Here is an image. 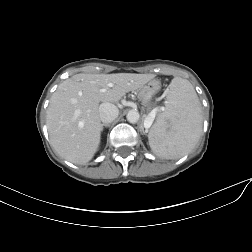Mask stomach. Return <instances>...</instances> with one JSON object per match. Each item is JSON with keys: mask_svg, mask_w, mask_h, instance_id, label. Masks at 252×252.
<instances>
[{"mask_svg": "<svg viewBox=\"0 0 252 252\" xmlns=\"http://www.w3.org/2000/svg\"><path fill=\"white\" fill-rule=\"evenodd\" d=\"M161 89L160 81L153 79L146 83L143 87L138 90V96L140 101L144 105H148L152 98L159 92Z\"/></svg>", "mask_w": 252, "mask_h": 252, "instance_id": "0dacf381", "label": "stomach"}]
</instances>
